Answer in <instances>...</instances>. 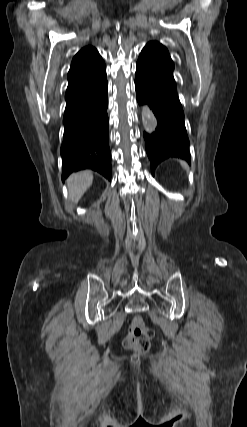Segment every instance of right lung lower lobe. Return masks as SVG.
Returning a JSON list of instances; mask_svg holds the SVG:
<instances>
[{"label":"right lung lower lobe","mask_w":247,"mask_h":427,"mask_svg":"<svg viewBox=\"0 0 247 427\" xmlns=\"http://www.w3.org/2000/svg\"><path fill=\"white\" fill-rule=\"evenodd\" d=\"M107 92L106 67L68 86L61 146L62 180L82 169L95 170L111 180Z\"/></svg>","instance_id":"98d812e1"}]
</instances>
